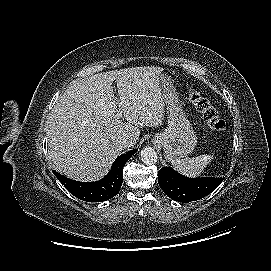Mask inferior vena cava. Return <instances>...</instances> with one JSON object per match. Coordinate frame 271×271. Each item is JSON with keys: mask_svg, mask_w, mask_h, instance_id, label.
<instances>
[{"mask_svg": "<svg viewBox=\"0 0 271 271\" xmlns=\"http://www.w3.org/2000/svg\"><path fill=\"white\" fill-rule=\"evenodd\" d=\"M118 145L121 148H127L133 146L132 139L129 136H122L121 138L118 139Z\"/></svg>", "mask_w": 271, "mask_h": 271, "instance_id": "602c4592", "label": "inferior vena cava"}]
</instances>
